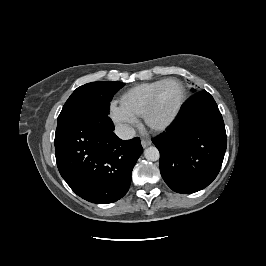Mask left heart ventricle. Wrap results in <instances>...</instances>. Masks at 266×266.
<instances>
[{
  "label": "left heart ventricle",
  "instance_id": "obj_1",
  "mask_svg": "<svg viewBox=\"0 0 266 266\" xmlns=\"http://www.w3.org/2000/svg\"><path fill=\"white\" fill-rule=\"evenodd\" d=\"M181 99V88L176 82L166 84L160 91L151 120L155 124L164 123L176 110Z\"/></svg>",
  "mask_w": 266,
  "mask_h": 266
}]
</instances>
